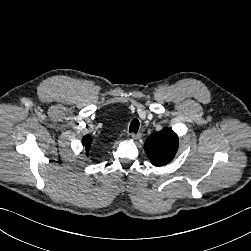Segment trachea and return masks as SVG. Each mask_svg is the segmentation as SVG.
Instances as JSON below:
<instances>
[{
    "label": "trachea",
    "mask_w": 251,
    "mask_h": 251,
    "mask_svg": "<svg viewBox=\"0 0 251 251\" xmlns=\"http://www.w3.org/2000/svg\"><path fill=\"white\" fill-rule=\"evenodd\" d=\"M139 125H140V123H139V121H138V119H133L132 121H131V123H130V127H129V133H137L138 132V130H139Z\"/></svg>",
    "instance_id": "1"
}]
</instances>
